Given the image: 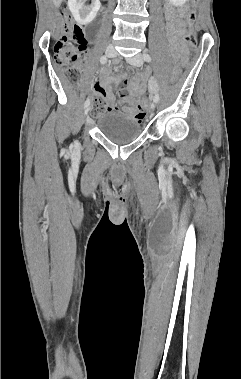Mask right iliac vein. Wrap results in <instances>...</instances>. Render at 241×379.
Returning <instances> with one entry per match:
<instances>
[{
	"label": "right iliac vein",
	"instance_id": "63e3f726",
	"mask_svg": "<svg viewBox=\"0 0 241 379\" xmlns=\"http://www.w3.org/2000/svg\"><path fill=\"white\" fill-rule=\"evenodd\" d=\"M105 53H106V55H107L108 57H110V58L116 56V50H115V48L113 47V45H109V46H107V48H106V50H105ZM89 110H90V107L87 106L86 109H85V112H84L85 115L88 114Z\"/></svg>",
	"mask_w": 241,
	"mask_h": 379
}]
</instances>
